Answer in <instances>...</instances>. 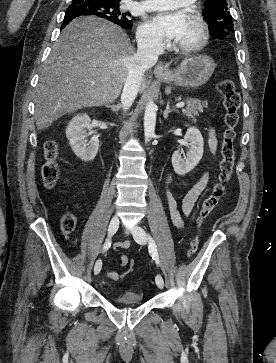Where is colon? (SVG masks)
Masks as SVG:
<instances>
[{
    "instance_id": "colon-1",
    "label": "colon",
    "mask_w": 276,
    "mask_h": 363,
    "mask_svg": "<svg viewBox=\"0 0 276 363\" xmlns=\"http://www.w3.org/2000/svg\"><path fill=\"white\" fill-rule=\"evenodd\" d=\"M218 91L223 98V104L226 110L224 116L225 130L223 132L219 173L211 193L203 200L201 208L196 218V224L199 226L204 218L215 208L222 198L226 185L229 182L234 168L235 161V128L239 121L238 110L241 103L240 93L231 79H224L218 84ZM46 163L42 169L44 183L47 187H53L59 179L60 170L56 162L58 148L55 142L48 141L45 145ZM76 227V218L71 213H65L61 218V228L64 234H70ZM198 242L196 238L190 241L187 255L192 256L196 253ZM129 268L134 266V260L128 261Z\"/></svg>"
}]
</instances>
